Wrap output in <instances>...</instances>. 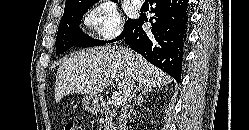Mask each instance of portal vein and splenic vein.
Segmentation results:
<instances>
[{
    "instance_id": "portal-vein-and-splenic-vein-1",
    "label": "portal vein and splenic vein",
    "mask_w": 249,
    "mask_h": 130,
    "mask_svg": "<svg viewBox=\"0 0 249 130\" xmlns=\"http://www.w3.org/2000/svg\"><path fill=\"white\" fill-rule=\"evenodd\" d=\"M111 103H112L114 106H119V105L122 104V96H121V93H120V92H115V93L113 94Z\"/></svg>"
}]
</instances>
